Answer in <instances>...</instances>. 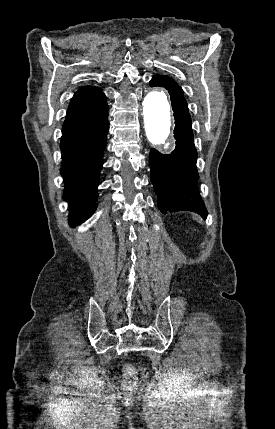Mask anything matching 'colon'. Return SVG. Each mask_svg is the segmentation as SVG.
Masks as SVG:
<instances>
[{
  "label": "colon",
  "mask_w": 275,
  "mask_h": 429,
  "mask_svg": "<svg viewBox=\"0 0 275 429\" xmlns=\"http://www.w3.org/2000/svg\"><path fill=\"white\" fill-rule=\"evenodd\" d=\"M135 382L134 370L132 368L126 367L124 369V383L126 386H131Z\"/></svg>",
  "instance_id": "5ec220e1"
}]
</instances>
